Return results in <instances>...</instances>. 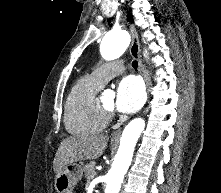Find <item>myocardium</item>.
<instances>
[{
  "label": "myocardium",
  "mask_w": 221,
  "mask_h": 193,
  "mask_svg": "<svg viewBox=\"0 0 221 193\" xmlns=\"http://www.w3.org/2000/svg\"><path fill=\"white\" fill-rule=\"evenodd\" d=\"M95 103L102 115L109 120L113 116V109L105 107L99 99L95 98Z\"/></svg>",
  "instance_id": "f54148a6"
}]
</instances>
